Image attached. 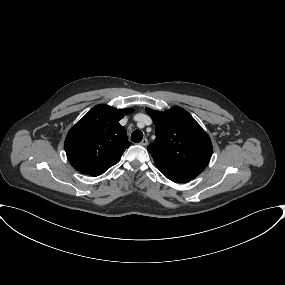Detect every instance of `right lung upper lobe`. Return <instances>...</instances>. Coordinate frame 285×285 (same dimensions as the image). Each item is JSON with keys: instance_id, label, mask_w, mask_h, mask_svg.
I'll use <instances>...</instances> for the list:
<instances>
[{"instance_id": "cb5924a9", "label": "right lung upper lobe", "mask_w": 285, "mask_h": 285, "mask_svg": "<svg viewBox=\"0 0 285 285\" xmlns=\"http://www.w3.org/2000/svg\"><path fill=\"white\" fill-rule=\"evenodd\" d=\"M132 111L108 105L93 107L66 136L64 146L70 164L91 176H99L115 165L131 145L119 121Z\"/></svg>"}]
</instances>
